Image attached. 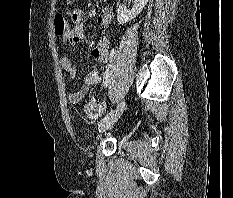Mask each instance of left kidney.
Segmentation results:
<instances>
[{"instance_id":"5707ae66","label":"left kidney","mask_w":233,"mask_h":198,"mask_svg":"<svg viewBox=\"0 0 233 198\" xmlns=\"http://www.w3.org/2000/svg\"><path fill=\"white\" fill-rule=\"evenodd\" d=\"M148 0H135L131 10H127L120 4V0L117 1V20L120 24L134 19L138 14L141 13L143 8L147 5Z\"/></svg>"}]
</instances>
